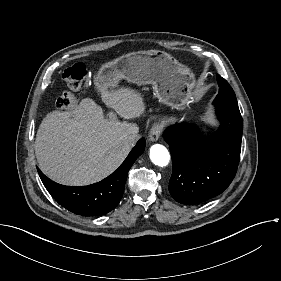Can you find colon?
Segmentation results:
<instances>
[{
    "mask_svg": "<svg viewBox=\"0 0 281 281\" xmlns=\"http://www.w3.org/2000/svg\"><path fill=\"white\" fill-rule=\"evenodd\" d=\"M88 69L85 63L77 62L67 67L62 75L65 84L72 88L79 87L87 77ZM76 98L70 91H65L57 98V106L62 111L71 110L76 106Z\"/></svg>",
    "mask_w": 281,
    "mask_h": 281,
    "instance_id": "colon-1",
    "label": "colon"
}]
</instances>
